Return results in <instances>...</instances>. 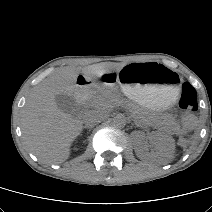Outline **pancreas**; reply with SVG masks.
<instances>
[{"mask_svg":"<svg viewBox=\"0 0 212 212\" xmlns=\"http://www.w3.org/2000/svg\"><path fill=\"white\" fill-rule=\"evenodd\" d=\"M90 101L92 103L99 104L102 109L106 110H110L117 105L124 104L134 114L139 123L153 125L155 122L153 116H151L148 112L131 102L121 100L118 96L109 92L102 93L98 96H93L90 98Z\"/></svg>","mask_w":212,"mask_h":212,"instance_id":"pancreas-1","label":"pancreas"}]
</instances>
